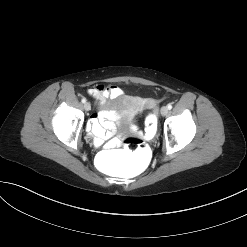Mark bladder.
I'll return each instance as SVG.
<instances>
[{
  "instance_id": "obj_1",
  "label": "bladder",
  "mask_w": 247,
  "mask_h": 247,
  "mask_svg": "<svg viewBox=\"0 0 247 247\" xmlns=\"http://www.w3.org/2000/svg\"><path fill=\"white\" fill-rule=\"evenodd\" d=\"M134 109L133 99L123 95L115 98H107L102 105V110L105 113L121 111L124 113H131Z\"/></svg>"
}]
</instances>
